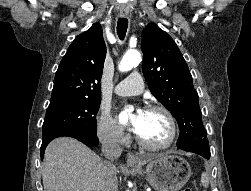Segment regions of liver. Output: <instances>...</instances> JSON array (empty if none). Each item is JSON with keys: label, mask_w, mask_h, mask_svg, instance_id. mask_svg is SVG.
Returning <instances> with one entry per match:
<instances>
[{"label": "liver", "mask_w": 251, "mask_h": 191, "mask_svg": "<svg viewBox=\"0 0 251 191\" xmlns=\"http://www.w3.org/2000/svg\"><path fill=\"white\" fill-rule=\"evenodd\" d=\"M116 171L74 137H56L44 153V191H117Z\"/></svg>", "instance_id": "obj_1"}]
</instances>
